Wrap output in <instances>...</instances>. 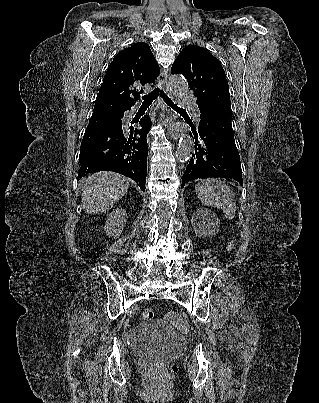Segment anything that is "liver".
<instances>
[{
    "label": "liver",
    "mask_w": 319,
    "mask_h": 403,
    "mask_svg": "<svg viewBox=\"0 0 319 403\" xmlns=\"http://www.w3.org/2000/svg\"><path fill=\"white\" fill-rule=\"evenodd\" d=\"M82 204L86 212L102 213L111 209L128 191L129 180L114 172H99L82 180Z\"/></svg>",
    "instance_id": "liver-1"
}]
</instances>
